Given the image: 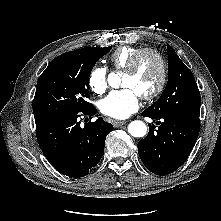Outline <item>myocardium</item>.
Segmentation results:
<instances>
[{"instance_id":"myocardium-1","label":"myocardium","mask_w":221,"mask_h":221,"mask_svg":"<svg viewBox=\"0 0 221 221\" xmlns=\"http://www.w3.org/2000/svg\"><path fill=\"white\" fill-rule=\"evenodd\" d=\"M143 55L154 56L156 60L158 61L160 65V70H161L160 80L156 88L152 92L141 96L142 99L150 101V100L157 98L164 90L166 82H167L168 70H167L166 61L164 57L162 56V54H160L157 50L152 49V48H143L134 54V56L132 57L131 61L129 62L128 66L125 69V73L134 74L135 71L137 70L139 62Z\"/></svg>"}]
</instances>
